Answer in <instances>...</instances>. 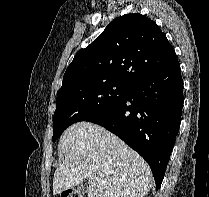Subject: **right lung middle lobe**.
I'll use <instances>...</instances> for the list:
<instances>
[{"label": "right lung middle lobe", "mask_w": 209, "mask_h": 197, "mask_svg": "<svg viewBox=\"0 0 209 197\" xmlns=\"http://www.w3.org/2000/svg\"><path fill=\"white\" fill-rule=\"evenodd\" d=\"M133 86L115 80L81 82L62 87L53 118V142L71 124L84 121L125 98Z\"/></svg>", "instance_id": "1"}]
</instances>
